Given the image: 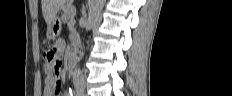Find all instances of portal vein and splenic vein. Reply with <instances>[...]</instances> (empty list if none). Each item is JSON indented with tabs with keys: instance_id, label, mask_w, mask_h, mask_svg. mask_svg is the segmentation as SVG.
Returning a JSON list of instances; mask_svg holds the SVG:
<instances>
[{
	"instance_id": "1",
	"label": "portal vein and splenic vein",
	"mask_w": 232,
	"mask_h": 96,
	"mask_svg": "<svg viewBox=\"0 0 232 96\" xmlns=\"http://www.w3.org/2000/svg\"><path fill=\"white\" fill-rule=\"evenodd\" d=\"M71 24H74L75 23V20L74 19H72V21L70 22Z\"/></svg>"
}]
</instances>
